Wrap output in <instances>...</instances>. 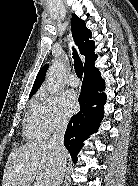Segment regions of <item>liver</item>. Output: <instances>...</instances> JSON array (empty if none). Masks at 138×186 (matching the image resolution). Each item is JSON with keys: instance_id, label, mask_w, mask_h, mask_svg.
Here are the masks:
<instances>
[{"instance_id": "obj_1", "label": "liver", "mask_w": 138, "mask_h": 186, "mask_svg": "<svg viewBox=\"0 0 138 186\" xmlns=\"http://www.w3.org/2000/svg\"><path fill=\"white\" fill-rule=\"evenodd\" d=\"M55 157V150L43 141L13 149L5 165L2 186H30L34 179L47 186Z\"/></svg>"}]
</instances>
